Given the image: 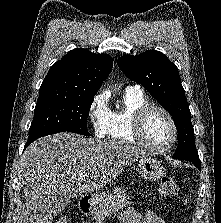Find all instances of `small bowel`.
<instances>
[{"label": "small bowel", "mask_w": 221, "mask_h": 223, "mask_svg": "<svg viewBox=\"0 0 221 223\" xmlns=\"http://www.w3.org/2000/svg\"><path fill=\"white\" fill-rule=\"evenodd\" d=\"M120 221L121 223H165L164 219L152 210L142 213L133 207L122 212Z\"/></svg>", "instance_id": "small-bowel-1"}]
</instances>
